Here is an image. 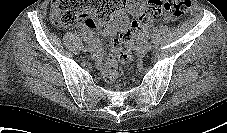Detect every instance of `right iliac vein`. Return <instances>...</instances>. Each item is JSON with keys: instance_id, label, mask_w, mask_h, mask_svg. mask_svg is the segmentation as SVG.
<instances>
[{"instance_id": "right-iliac-vein-1", "label": "right iliac vein", "mask_w": 227, "mask_h": 133, "mask_svg": "<svg viewBox=\"0 0 227 133\" xmlns=\"http://www.w3.org/2000/svg\"><path fill=\"white\" fill-rule=\"evenodd\" d=\"M93 47L91 46V47H86L83 51L84 52H93Z\"/></svg>"}]
</instances>
